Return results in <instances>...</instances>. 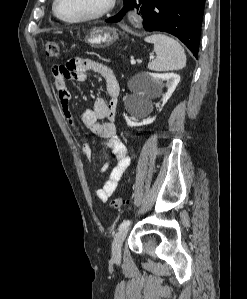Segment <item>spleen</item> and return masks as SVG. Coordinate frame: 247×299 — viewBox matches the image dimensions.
<instances>
[{
    "instance_id": "spleen-1",
    "label": "spleen",
    "mask_w": 247,
    "mask_h": 299,
    "mask_svg": "<svg viewBox=\"0 0 247 299\" xmlns=\"http://www.w3.org/2000/svg\"><path fill=\"white\" fill-rule=\"evenodd\" d=\"M154 44L156 59L148 63L152 71L179 70L186 65V55L178 41L163 34H154L145 38Z\"/></svg>"
}]
</instances>
